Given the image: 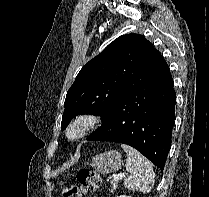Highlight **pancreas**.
Returning <instances> with one entry per match:
<instances>
[{"mask_svg": "<svg viewBox=\"0 0 209 197\" xmlns=\"http://www.w3.org/2000/svg\"><path fill=\"white\" fill-rule=\"evenodd\" d=\"M111 186H112L111 192H113L117 188V183L114 181H111Z\"/></svg>", "mask_w": 209, "mask_h": 197, "instance_id": "obj_1", "label": "pancreas"}]
</instances>
